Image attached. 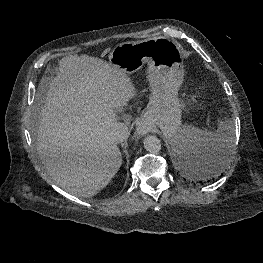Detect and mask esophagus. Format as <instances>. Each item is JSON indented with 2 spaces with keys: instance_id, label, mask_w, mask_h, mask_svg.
<instances>
[{
  "instance_id": "1",
  "label": "esophagus",
  "mask_w": 263,
  "mask_h": 263,
  "mask_svg": "<svg viewBox=\"0 0 263 263\" xmlns=\"http://www.w3.org/2000/svg\"><path fill=\"white\" fill-rule=\"evenodd\" d=\"M150 131L149 127L143 123V122H138L136 124V133L138 135H145Z\"/></svg>"
}]
</instances>
